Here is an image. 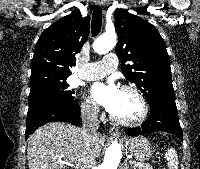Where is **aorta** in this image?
I'll return each instance as SVG.
<instances>
[{
    "instance_id": "762f6f07",
    "label": "aorta",
    "mask_w": 200,
    "mask_h": 169,
    "mask_svg": "<svg viewBox=\"0 0 200 169\" xmlns=\"http://www.w3.org/2000/svg\"><path fill=\"white\" fill-rule=\"evenodd\" d=\"M117 42L115 33H104L93 44L94 51L98 54H105L112 50ZM122 157L121 146L117 141L107 148L104 160L98 169H117Z\"/></svg>"
}]
</instances>
